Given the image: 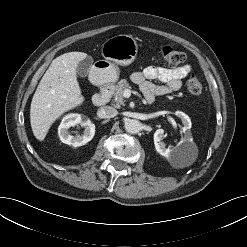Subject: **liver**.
<instances>
[{"label": "liver", "mask_w": 247, "mask_h": 247, "mask_svg": "<svg viewBox=\"0 0 247 247\" xmlns=\"http://www.w3.org/2000/svg\"><path fill=\"white\" fill-rule=\"evenodd\" d=\"M86 57L84 52L62 54L52 61L42 77L30 107L31 128L39 141L44 140L57 118L84 102L76 69Z\"/></svg>", "instance_id": "obj_1"}]
</instances>
